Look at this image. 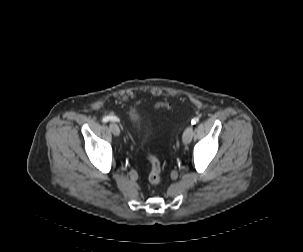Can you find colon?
Instances as JSON below:
<instances>
[{"label":"colon","mask_w":303,"mask_h":252,"mask_svg":"<svg viewBox=\"0 0 303 252\" xmlns=\"http://www.w3.org/2000/svg\"><path fill=\"white\" fill-rule=\"evenodd\" d=\"M167 104L164 102H160L157 103L155 105L156 108H161V107H165ZM147 158L149 160L150 163V172H149V181L153 184V185H158L161 181L160 178V172H161V166H160V162L158 160V158L153 155L148 153L147 154Z\"/></svg>","instance_id":"1"}]
</instances>
